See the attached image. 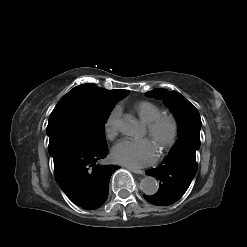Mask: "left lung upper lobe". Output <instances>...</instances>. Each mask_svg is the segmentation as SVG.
<instances>
[{
	"label": "left lung upper lobe",
	"instance_id": "obj_1",
	"mask_svg": "<svg viewBox=\"0 0 247 247\" xmlns=\"http://www.w3.org/2000/svg\"><path fill=\"white\" fill-rule=\"evenodd\" d=\"M147 96L162 98L165 104L171 108L178 121V140L172 151L180 148L198 150L200 147L201 119L197 108L183 95L166 89H154L146 92Z\"/></svg>",
	"mask_w": 247,
	"mask_h": 247
}]
</instances>
